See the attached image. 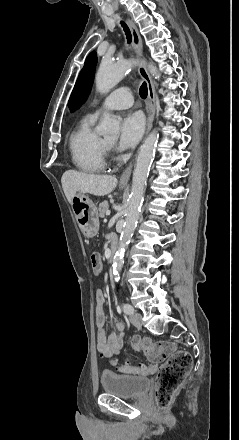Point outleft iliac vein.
Instances as JSON below:
<instances>
[{"instance_id": "1", "label": "left iliac vein", "mask_w": 239, "mask_h": 440, "mask_svg": "<svg viewBox=\"0 0 239 440\" xmlns=\"http://www.w3.org/2000/svg\"><path fill=\"white\" fill-rule=\"evenodd\" d=\"M130 322L137 328L142 326V315L140 313H133L129 317Z\"/></svg>"}]
</instances>
